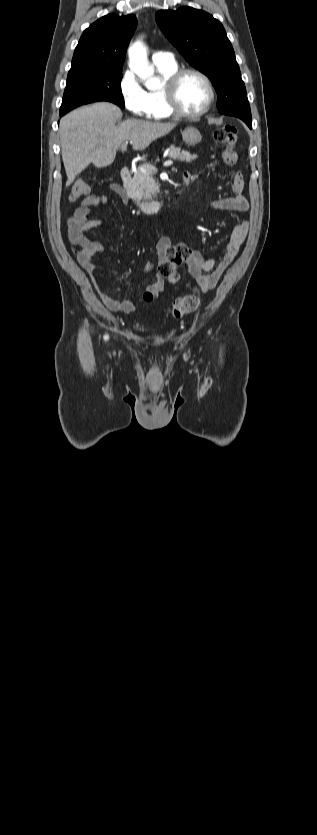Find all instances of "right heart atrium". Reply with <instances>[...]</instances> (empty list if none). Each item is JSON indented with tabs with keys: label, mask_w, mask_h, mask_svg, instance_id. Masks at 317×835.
Returning a JSON list of instances; mask_svg holds the SVG:
<instances>
[{
	"label": "right heart atrium",
	"mask_w": 317,
	"mask_h": 835,
	"mask_svg": "<svg viewBox=\"0 0 317 835\" xmlns=\"http://www.w3.org/2000/svg\"><path fill=\"white\" fill-rule=\"evenodd\" d=\"M119 91L125 107L137 117H150L147 93L131 70L123 72Z\"/></svg>",
	"instance_id": "right-heart-atrium-1"
}]
</instances>
